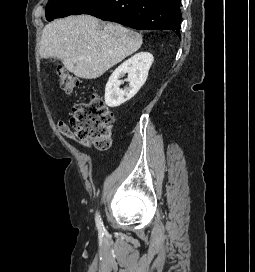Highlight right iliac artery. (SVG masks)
<instances>
[{
	"label": "right iliac artery",
	"instance_id": "1",
	"mask_svg": "<svg viewBox=\"0 0 255 272\" xmlns=\"http://www.w3.org/2000/svg\"><path fill=\"white\" fill-rule=\"evenodd\" d=\"M95 220H96V226H97L99 232H103L104 231V226H103V223L101 221V217H100L99 213L96 214Z\"/></svg>",
	"mask_w": 255,
	"mask_h": 272
}]
</instances>
